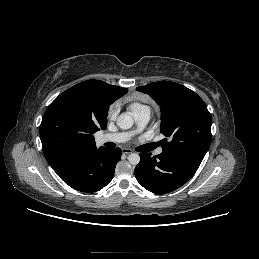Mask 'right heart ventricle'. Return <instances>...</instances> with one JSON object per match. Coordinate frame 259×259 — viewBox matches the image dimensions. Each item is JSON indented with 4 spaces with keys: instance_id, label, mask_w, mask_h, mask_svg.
<instances>
[{
    "instance_id": "right-heart-ventricle-1",
    "label": "right heart ventricle",
    "mask_w": 259,
    "mask_h": 259,
    "mask_svg": "<svg viewBox=\"0 0 259 259\" xmlns=\"http://www.w3.org/2000/svg\"><path fill=\"white\" fill-rule=\"evenodd\" d=\"M144 107H146V106L141 105L139 103H133V104L130 105V109H131L132 112H134L138 109L144 108Z\"/></svg>"
}]
</instances>
